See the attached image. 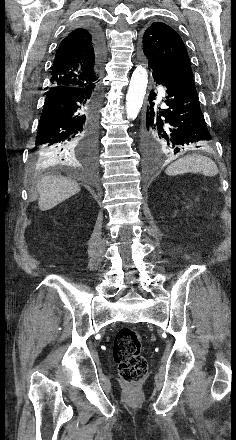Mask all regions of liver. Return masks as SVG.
Masks as SVG:
<instances>
[{
  "instance_id": "obj_1",
  "label": "liver",
  "mask_w": 236,
  "mask_h": 440,
  "mask_svg": "<svg viewBox=\"0 0 236 440\" xmlns=\"http://www.w3.org/2000/svg\"><path fill=\"white\" fill-rule=\"evenodd\" d=\"M41 211L52 209L80 191L75 181L63 176H45L37 185Z\"/></svg>"
}]
</instances>
